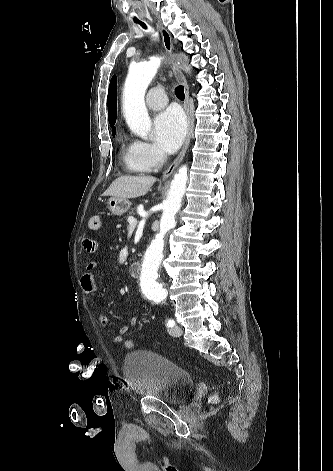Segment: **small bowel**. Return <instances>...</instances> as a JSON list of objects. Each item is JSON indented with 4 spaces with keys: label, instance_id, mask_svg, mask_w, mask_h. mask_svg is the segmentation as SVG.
Wrapping results in <instances>:
<instances>
[{
    "label": "small bowel",
    "instance_id": "1",
    "mask_svg": "<svg viewBox=\"0 0 333 471\" xmlns=\"http://www.w3.org/2000/svg\"><path fill=\"white\" fill-rule=\"evenodd\" d=\"M85 244L88 250H92L94 248V243L91 240H86ZM98 268L99 263L96 260H91L86 264V271L81 277V286L87 295L92 296L96 292L95 272ZM138 322L139 319L137 317H132L130 319L129 326L124 325L118 329V332L113 337V341L115 343H123L124 335L129 331L130 327L136 326ZM99 323L103 328H106L109 325L108 317L103 312L99 314Z\"/></svg>",
    "mask_w": 333,
    "mask_h": 471
}]
</instances>
